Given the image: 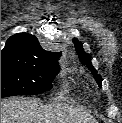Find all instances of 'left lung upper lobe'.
Returning <instances> with one entry per match:
<instances>
[{
	"mask_svg": "<svg viewBox=\"0 0 122 123\" xmlns=\"http://www.w3.org/2000/svg\"><path fill=\"white\" fill-rule=\"evenodd\" d=\"M73 43L75 45V50L79 56L80 61L87 65L89 70H91L92 74L94 75V78L97 81L98 85L101 87L102 78L100 75L97 74V71L92 66L91 59L89 55L86 52H84L82 44L77 39H73Z\"/></svg>",
	"mask_w": 122,
	"mask_h": 123,
	"instance_id": "5c2ea615",
	"label": "left lung upper lobe"
}]
</instances>
